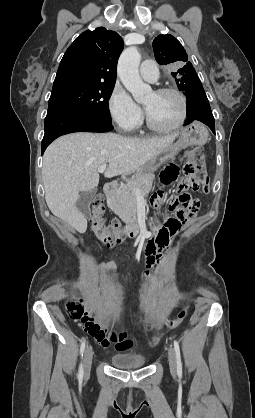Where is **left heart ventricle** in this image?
<instances>
[{
	"label": "left heart ventricle",
	"mask_w": 255,
	"mask_h": 418,
	"mask_svg": "<svg viewBox=\"0 0 255 418\" xmlns=\"http://www.w3.org/2000/svg\"><path fill=\"white\" fill-rule=\"evenodd\" d=\"M143 104L149 117L158 126L168 127L175 124L181 115V102L172 93H150Z\"/></svg>",
	"instance_id": "b2bd125f"
}]
</instances>
